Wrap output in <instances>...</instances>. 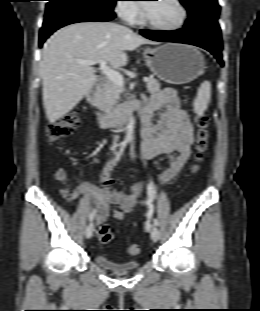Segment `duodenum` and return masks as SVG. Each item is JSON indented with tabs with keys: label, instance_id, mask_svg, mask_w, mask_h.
I'll list each match as a JSON object with an SVG mask.
<instances>
[{
	"label": "duodenum",
	"instance_id": "obj_1",
	"mask_svg": "<svg viewBox=\"0 0 260 311\" xmlns=\"http://www.w3.org/2000/svg\"><path fill=\"white\" fill-rule=\"evenodd\" d=\"M104 82V77H98L86 93L87 104L93 112L98 124L104 127L121 125L127 122L134 112L142 110L140 102L130 101L119 105L113 111L107 113L100 111L98 109L99 94L101 85Z\"/></svg>",
	"mask_w": 260,
	"mask_h": 311
}]
</instances>
